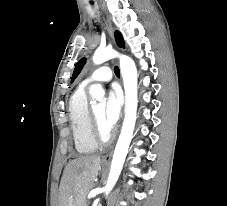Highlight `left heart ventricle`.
Returning a JSON list of instances; mask_svg holds the SVG:
<instances>
[{
	"label": "left heart ventricle",
	"mask_w": 227,
	"mask_h": 206,
	"mask_svg": "<svg viewBox=\"0 0 227 206\" xmlns=\"http://www.w3.org/2000/svg\"><path fill=\"white\" fill-rule=\"evenodd\" d=\"M104 109H105L104 103H98L93 107L94 114L97 118L102 133L107 134L109 130L107 129L103 121Z\"/></svg>",
	"instance_id": "left-heart-ventricle-1"
}]
</instances>
